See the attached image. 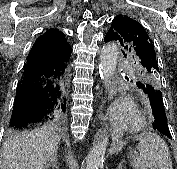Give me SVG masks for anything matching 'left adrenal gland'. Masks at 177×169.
I'll return each instance as SVG.
<instances>
[{
	"mask_svg": "<svg viewBox=\"0 0 177 169\" xmlns=\"http://www.w3.org/2000/svg\"><path fill=\"white\" fill-rule=\"evenodd\" d=\"M123 163H124V160H122V162H121L120 165L117 167V169H123Z\"/></svg>",
	"mask_w": 177,
	"mask_h": 169,
	"instance_id": "left-adrenal-gland-1",
	"label": "left adrenal gland"
}]
</instances>
